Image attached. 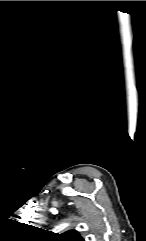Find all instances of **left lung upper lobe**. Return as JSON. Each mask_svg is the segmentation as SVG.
I'll return each mask as SVG.
<instances>
[{
  "mask_svg": "<svg viewBox=\"0 0 146 241\" xmlns=\"http://www.w3.org/2000/svg\"><path fill=\"white\" fill-rule=\"evenodd\" d=\"M59 241H84V239L75 230L67 231L63 234H57Z\"/></svg>",
  "mask_w": 146,
  "mask_h": 241,
  "instance_id": "left-lung-upper-lobe-1",
  "label": "left lung upper lobe"
}]
</instances>
